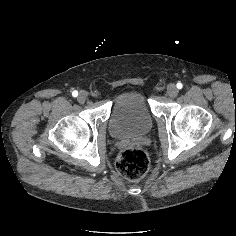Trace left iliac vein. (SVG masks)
<instances>
[{
    "instance_id": "1",
    "label": "left iliac vein",
    "mask_w": 236,
    "mask_h": 236,
    "mask_svg": "<svg viewBox=\"0 0 236 236\" xmlns=\"http://www.w3.org/2000/svg\"><path fill=\"white\" fill-rule=\"evenodd\" d=\"M167 93L169 97L175 98L178 95V89L174 84H169L167 86Z\"/></svg>"
}]
</instances>
